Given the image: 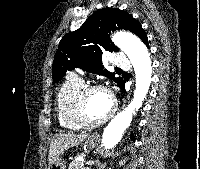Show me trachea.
<instances>
[{"mask_svg":"<svg viewBox=\"0 0 200 169\" xmlns=\"http://www.w3.org/2000/svg\"><path fill=\"white\" fill-rule=\"evenodd\" d=\"M116 70H121L120 68H117Z\"/></svg>","mask_w":200,"mask_h":169,"instance_id":"3493384b","label":"trachea"}]
</instances>
